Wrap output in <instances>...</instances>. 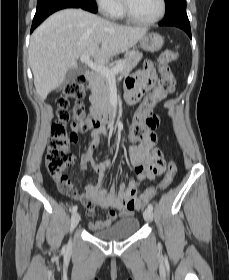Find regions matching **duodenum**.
Instances as JSON below:
<instances>
[{
  "mask_svg": "<svg viewBox=\"0 0 229 280\" xmlns=\"http://www.w3.org/2000/svg\"><path fill=\"white\" fill-rule=\"evenodd\" d=\"M84 78L88 82H94L96 80V75L92 71H86L84 73ZM92 125L95 129L103 130L105 127L115 124L116 115L114 108L108 111H93L91 116Z\"/></svg>",
  "mask_w": 229,
  "mask_h": 280,
  "instance_id": "duodenum-1",
  "label": "duodenum"
}]
</instances>
